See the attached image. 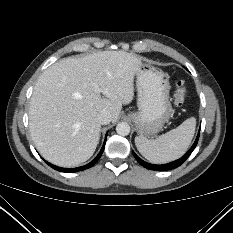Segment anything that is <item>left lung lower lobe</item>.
Listing matches in <instances>:
<instances>
[{
	"instance_id": "obj_1",
	"label": "left lung lower lobe",
	"mask_w": 233,
	"mask_h": 233,
	"mask_svg": "<svg viewBox=\"0 0 233 233\" xmlns=\"http://www.w3.org/2000/svg\"><path fill=\"white\" fill-rule=\"evenodd\" d=\"M199 139V133L197 135V138L194 142V144L192 145V147L190 148V150L180 159L167 163V164H163V165H155V164H150L147 163L145 161H143L142 159H140L134 152L133 155L135 157V159L145 168L149 169V170H156V171H165V170H171V169H175L177 167H179L180 165H182L185 160L190 156V154L192 153V151L195 149L197 142Z\"/></svg>"
}]
</instances>
